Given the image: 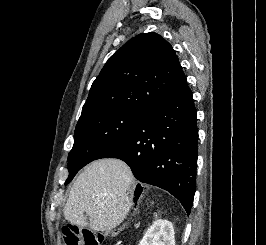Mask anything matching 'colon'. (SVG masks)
Returning a JSON list of instances; mask_svg holds the SVG:
<instances>
[{
	"mask_svg": "<svg viewBox=\"0 0 266 245\" xmlns=\"http://www.w3.org/2000/svg\"><path fill=\"white\" fill-rule=\"evenodd\" d=\"M106 235L95 233L89 229H80L74 224H68L61 230L64 245H102Z\"/></svg>",
	"mask_w": 266,
	"mask_h": 245,
	"instance_id": "1",
	"label": "colon"
}]
</instances>
